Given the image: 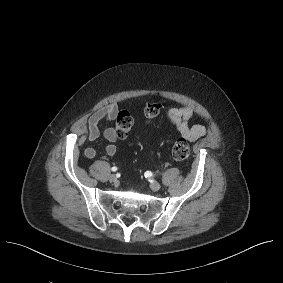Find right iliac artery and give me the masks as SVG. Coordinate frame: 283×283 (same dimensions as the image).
Here are the masks:
<instances>
[{"label":"right iliac artery","mask_w":283,"mask_h":283,"mask_svg":"<svg viewBox=\"0 0 283 283\" xmlns=\"http://www.w3.org/2000/svg\"><path fill=\"white\" fill-rule=\"evenodd\" d=\"M111 170L115 172L117 170V167H112Z\"/></svg>","instance_id":"1"}]
</instances>
